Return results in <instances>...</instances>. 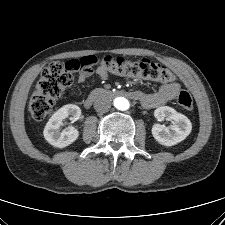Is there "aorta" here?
I'll list each match as a JSON object with an SVG mask.
<instances>
[{
  "label": "aorta",
  "mask_w": 225,
  "mask_h": 225,
  "mask_svg": "<svg viewBox=\"0 0 225 225\" xmlns=\"http://www.w3.org/2000/svg\"><path fill=\"white\" fill-rule=\"evenodd\" d=\"M114 106L121 111L128 110L130 107L129 101L124 97H118L114 100Z\"/></svg>",
  "instance_id": "aorta-1"
}]
</instances>
